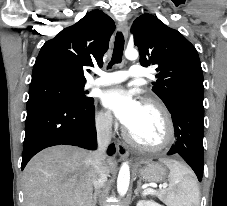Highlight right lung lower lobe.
Masks as SVG:
<instances>
[{
  "instance_id": "98d812e1",
  "label": "right lung lower lobe",
  "mask_w": 227,
  "mask_h": 206,
  "mask_svg": "<svg viewBox=\"0 0 227 206\" xmlns=\"http://www.w3.org/2000/svg\"><path fill=\"white\" fill-rule=\"evenodd\" d=\"M94 100L84 105L39 103L27 108L21 169L39 151L67 144L89 150L97 148ZM108 154L115 152L114 144Z\"/></svg>"
}]
</instances>
